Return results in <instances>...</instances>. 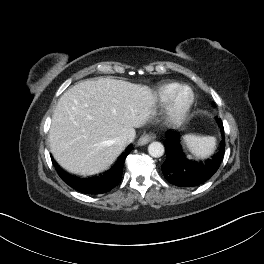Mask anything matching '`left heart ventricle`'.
<instances>
[{
  "mask_svg": "<svg viewBox=\"0 0 264 264\" xmlns=\"http://www.w3.org/2000/svg\"><path fill=\"white\" fill-rule=\"evenodd\" d=\"M186 97H187V93L184 92L181 94L180 99L184 100V99H186Z\"/></svg>",
  "mask_w": 264,
  "mask_h": 264,
  "instance_id": "b2bd125f",
  "label": "left heart ventricle"
}]
</instances>
